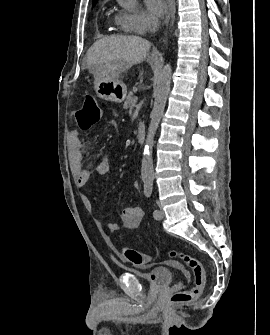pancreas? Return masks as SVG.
<instances>
[{
	"label": "pancreas",
	"instance_id": "cf45deb5",
	"mask_svg": "<svg viewBox=\"0 0 270 335\" xmlns=\"http://www.w3.org/2000/svg\"><path fill=\"white\" fill-rule=\"evenodd\" d=\"M135 102H136L135 96H133V94H129V96H127L123 104L124 110H127V108H130V106H132V104H135Z\"/></svg>",
	"mask_w": 270,
	"mask_h": 335
}]
</instances>
